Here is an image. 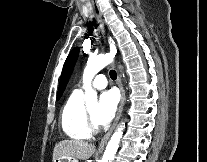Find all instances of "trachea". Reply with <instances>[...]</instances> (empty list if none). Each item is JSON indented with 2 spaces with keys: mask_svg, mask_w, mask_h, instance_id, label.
<instances>
[{
  "mask_svg": "<svg viewBox=\"0 0 207 162\" xmlns=\"http://www.w3.org/2000/svg\"><path fill=\"white\" fill-rule=\"evenodd\" d=\"M93 23H94V25L96 26L94 20H93ZM110 77H111L112 80H115V79H116L117 74H116V72H115L114 70H111V71H110Z\"/></svg>",
  "mask_w": 207,
  "mask_h": 162,
  "instance_id": "3493384b",
  "label": "trachea"
}]
</instances>
